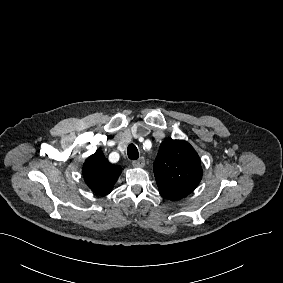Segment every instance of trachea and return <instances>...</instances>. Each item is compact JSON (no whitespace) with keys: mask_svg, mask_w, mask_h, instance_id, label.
Masks as SVG:
<instances>
[{"mask_svg":"<svg viewBox=\"0 0 283 283\" xmlns=\"http://www.w3.org/2000/svg\"><path fill=\"white\" fill-rule=\"evenodd\" d=\"M127 154H128L129 159H131V160H136V159L139 158L138 149L134 144H130L127 147Z\"/></svg>","mask_w":283,"mask_h":283,"instance_id":"trachea-1","label":"trachea"}]
</instances>
